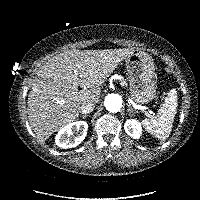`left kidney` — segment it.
<instances>
[{
	"label": "left kidney",
	"instance_id": "obj_1",
	"mask_svg": "<svg viewBox=\"0 0 200 200\" xmlns=\"http://www.w3.org/2000/svg\"><path fill=\"white\" fill-rule=\"evenodd\" d=\"M125 132L133 139H139L142 134V127L138 120L128 119L124 124Z\"/></svg>",
	"mask_w": 200,
	"mask_h": 200
}]
</instances>
